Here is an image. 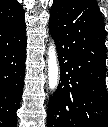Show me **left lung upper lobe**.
<instances>
[{
  "label": "left lung upper lobe",
  "mask_w": 108,
  "mask_h": 127,
  "mask_svg": "<svg viewBox=\"0 0 108 127\" xmlns=\"http://www.w3.org/2000/svg\"><path fill=\"white\" fill-rule=\"evenodd\" d=\"M67 78H68V84L70 83L72 86L76 84L77 80V65L72 64L70 67L67 68Z\"/></svg>",
  "instance_id": "obj_1"
}]
</instances>
